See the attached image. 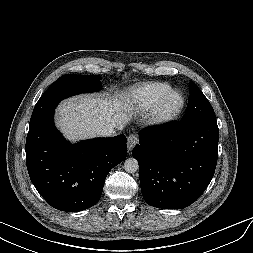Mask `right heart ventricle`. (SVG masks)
<instances>
[{
    "label": "right heart ventricle",
    "mask_w": 253,
    "mask_h": 253,
    "mask_svg": "<svg viewBox=\"0 0 253 253\" xmlns=\"http://www.w3.org/2000/svg\"><path fill=\"white\" fill-rule=\"evenodd\" d=\"M171 90V86L164 82H148L137 86L127 96L129 106L137 112L152 110L159 98Z\"/></svg>",
    "instance_id": "e07e8e85"
}]
</instances>
